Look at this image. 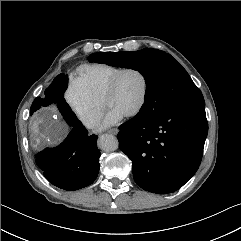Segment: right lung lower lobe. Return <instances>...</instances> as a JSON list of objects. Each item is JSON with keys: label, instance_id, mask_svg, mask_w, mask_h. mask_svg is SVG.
Segmentation results:
<instances>
[{"label": "right lung lower lobe", "instance_id": "right-lung-lower-lobe-1", "mask_svg": "<svg viewBox=\"0 0 241 241\" xmlns=\"http://www.w3.org/2000/svg\"><path fill=\"white\" fill-rule=\"evenodd\" d=\"M69 123L71 130L64 142L37 154L36 164L50 183L73 191L89 186L97 178L101 153L96 135L89 136L81 122Z\"/></svg>", "mask_w": 241, "mask_h": 241}]
</instances>
